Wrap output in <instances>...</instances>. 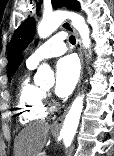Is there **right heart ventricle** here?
<instances>
[{
	"label": "right heart ventricle",
	"mask_w": 114,
	"mask_h": 156,
	"mask_svg": "<svg viewBox=\"0 0 114 156\" xmlns=\"http://www.w3.org/2000/svg\"><path fill=\"white\" fill-rule=\"evenodd\" d=\"M34 68L27 64V70L21 76L17 88V109L22 124L44 119L47 115L45 93L31 79Z\"/></svg>",
	"instance_id": "1"
}]
</instances>
